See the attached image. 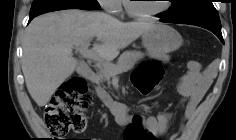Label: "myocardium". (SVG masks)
<instances>
[{"label": "myocardium", "instance_id": "f54148a6", "mask_svg": "<svg viewBox=\"0 0 236 140\" xmlns=\"http://www.w3.org/2000/svg\"><path fill=\"white\" fill-rule=\"evenodd\" d=\"M170 8V2L166 1V3L164 4V6L156 11H152V12H139L137 10H135L132 6V2L131 0H126L125 2V9L127 11V13L134 18L137 19H150L153 18L155 16L160 15L161 13L167 11Z\"/></svg>", "mask_w": 236, "mask_h": 140}]
</instances>
